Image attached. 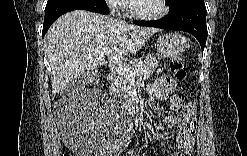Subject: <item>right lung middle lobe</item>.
Segmentation results:
<instances>
[{
    "label": "right lung middle lobe",
    "mask_w": 247,
    "mask_h": 156,
    "mask_svg": "<svg viewBox=\"0 0 247 156\" xmlns=\"http://www.w3.org/2000/svg\"><path fill=\"white\" fill-rule=\"evenodd\" d=\"M55 1H57V0H48L47 4H48V3L55 2Z\"/></svg>",
    "instance_id": "dd1d6c3e"
}]
</instances>
